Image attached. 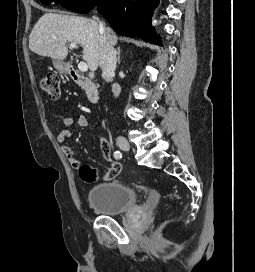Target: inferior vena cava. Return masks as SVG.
<instances>
[{
    "label": "inferior vena cava",
    "mask_w": 255,
    "mask_h": 272,
    "mask_svg": "<svg viewBox=\"0 0 255 272\" xmlns=\"http://www.w3.org/2000/svg\"><path fill=\"white\" fill-rule=\"evenodd\" d=\"M99 31H100V60L99 65L102 69V77L107 82H112L113 77L115 75L116 69V50L115 48L108 42L106 37V31L103 23H99ZM112 92L115 97H118L121 93V87L119 84L114 83L112 85Z\"/></svg>",
    "instance_id": "1"
}]
</instances>
